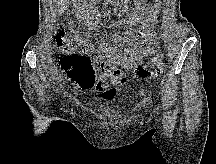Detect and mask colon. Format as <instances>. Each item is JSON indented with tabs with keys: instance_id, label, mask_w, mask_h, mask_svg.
<instances>
[{
	"instance_id": "1",
	"label": "colon",
	"mask_w": 216,
	"mask_h": 164,
	"mask_svg": "<svg viewBox=\"0 0 216 164\" xmlns=\"http://www.w3.org/2000/svg\"><path fill=\"white\" fill-rule=\"evenodd\" d=\"M54 41L62 51L59 64L63 74L84 89L93 87L97 80L96 69L105 71L107 66L99 58H96L93 64L88 56L78 52L79 49L87 52L90 45L81 40L76 33L68 31L63 26L57 28ZM152 64L153 70L137 68V75L140 77L156 76L159 72L160 64L157 61Z\"/></svg>"
}]
</instances>
